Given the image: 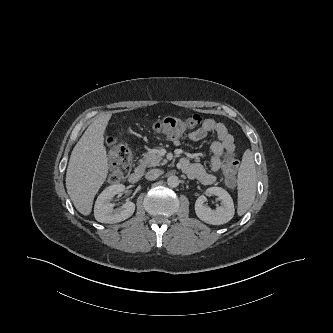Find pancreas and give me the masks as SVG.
<instances>
[{"label": "pancreas", "mask_w": 333, "mask_h": 333, "mask_svg": "<svg viewBox=\"0 0 333 333\" xmlns=\"http://www.w3.org/2000/svg\"><path fill=\"white\" fill-rule=\"evenodd\" d=\"M166 160L161 157L155 151H150L143 154V158L140 161L142 167H155L166 164Z\"/></svg>", "instance_id": "obj_1"}]
</instances>
